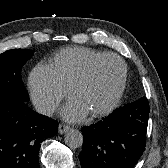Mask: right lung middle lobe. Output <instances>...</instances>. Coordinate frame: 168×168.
<instances>
[{
  "label": "right lung middle lobe",
  "instance_id": "obj_1",
  "mask_svg": "<svg viewBox=\"0 0 168 168\" xmlns=\"http://www.w3.org/2000/svg\"><path fill=\"white\" fill-rule=\"evenodd\" d=\"M33 53V50L12 49L0 54V97L29 101L21 80V69Z\"/></svg>",
  "mask_w": 168,
  "mask_h": 168
}]
</instances>
